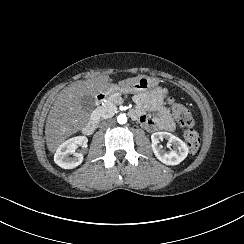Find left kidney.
<instances>
[{
	"label": "left kidney",
	"instance_id": "5707ae66",
	"mask_svg": "<svg viewBox=\"0 0 244 244\" xmlns=\"http://www.w3.org/2000/svg\"><path fill=\"white\" fill-rule=\"evenodd\" d=\"M167 139L173 145V150L165 152L159 145L160 140ZM152 149L162 163L166 165H178L188 155L187 145L178 137L168 132H155L151 135Z\"/></svg>",
	"mask_w": 244,
	"mask_h": 244
}]
</instances>
